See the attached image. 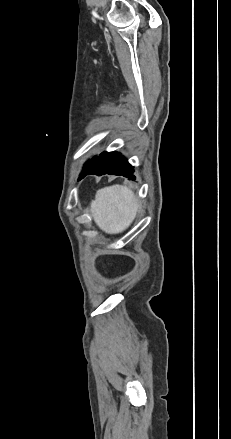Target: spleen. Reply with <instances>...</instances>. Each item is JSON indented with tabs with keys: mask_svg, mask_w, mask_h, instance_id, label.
<instances>
[{
	"mask_svg": "<svg viewBox=\"0 0 231 439\" xmlns=\"http://www.w3.org/2000/svg\"><path fill=\"white\" fill-rule=\"evenodd\" d=\"M133 192L126 186L113 185L97 191L91 203L96 224L109 234L122 232L133 222L138 211Z\"/></svg>",
	"mask_w": 231,
	"mask_h": 439,
	"instance_id": "1",
	"label": "spleen"
}]
</instances>
